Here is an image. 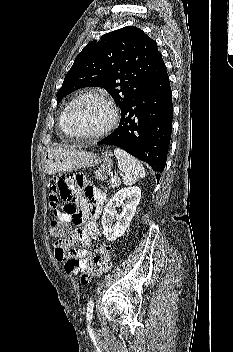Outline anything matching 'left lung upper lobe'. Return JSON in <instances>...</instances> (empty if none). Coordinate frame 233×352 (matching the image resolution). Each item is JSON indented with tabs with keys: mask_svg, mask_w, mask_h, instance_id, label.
<instances>
[{
	"mask_svg": "<svg viewBox=\"0 0 233 352\" xmlns=\"http://www.w3.org/2000/svg\"><path fill=\"white\" fill-rule=\"evenodd\" d=\"M166 70L157 44L137 27H124L88 43L77 55L57 92L104 88L122 110Z\"/></svg>",
	"mask_w": 233,
	"mask_h": 352,
	"instance_id": "5c2ea615",
	"label": "left lung upper lobe"
}]
</instances>
